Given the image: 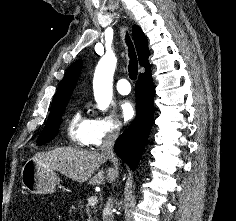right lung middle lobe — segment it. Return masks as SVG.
Returning a JSON list of instances; mask_svg holds the SVG:
<instances>
[{"mask_svg":"<svg viewBox=\"0 0 236 221\" xmlns=\"http://www.w3.org/2000/svg\"><path fill=\"white\" fill-rule=\"evenodd\" d=\"M67 103L68 102H65L51 108L48 121L42 133L37 138L38 145H43L55 138L59 131V126L61 124V116L65 111Z\"/></svg>","mask_w":236,"mask_h":221,"instance_id":"1","label":"right lung middle lobe"}]
</instances>
